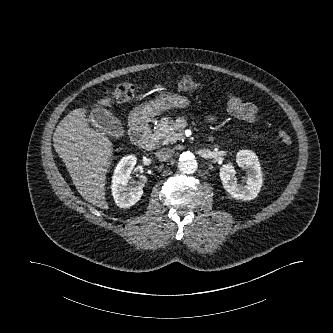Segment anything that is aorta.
<instances>
[{
    "label": "aorta",
    "mask_w": 333,
    "mask_h": 333,
    "mask_svg": "<svg viewBox=\"0 0 333 333\" xmlns=\"http://www.w3.org/2000/svg\"><path fill=\"white\" fill-rule=\"evenodd\" d=\"M178 168L184 174H193L198 168L194 154L190 151L181 152L178 160Z\"/></svg>",
    "instance_id": "aorta-1"
}]
</instances>
